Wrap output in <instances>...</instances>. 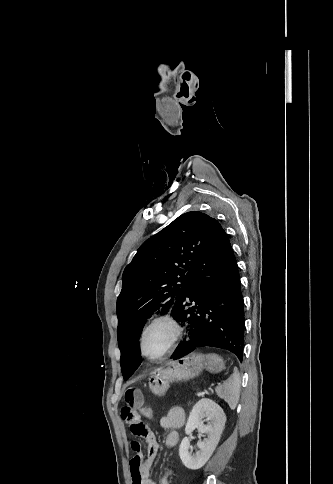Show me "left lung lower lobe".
Segmentation results:
<instances>
[{
	"mask_svg": "<svg viewBox=\"0 0 333 484\" xmlns=\"http://www.w3.org/2000/svg\"><path fill=\"white\" fill-rule=\"evenodd\" d=\"M185 282L190 285L185 295L189 300L179 299L172 315L189 324V335L170 358L177 360L197 347L210 346L229 350L242 361L245 319L238 266L229 238L215 219Z\"/></svg>",
	"mask_w": 333,
	"mask_h": 484,
	"instance_id": "left-lung-lower-lobe-1",
	"label": "left lung lower lobe"
}]
</instances>
